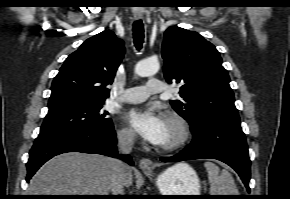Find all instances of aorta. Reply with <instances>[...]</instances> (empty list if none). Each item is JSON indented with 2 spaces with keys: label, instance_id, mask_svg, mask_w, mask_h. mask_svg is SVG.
Masks as SVG:
<instances>
[{
  "label": "aorta",
  "instance_id": "1",
  "mask_svg": "<svg viewBox=\"0 0 290 199\" xmlns=\"http://www.w3.org/2000/svg\"><path fill=\"white\" fill-rule=\"evenodd\" d=\"M160 65L156 59H147L140 61L135 66V73L141 77L155 75L159 71Z\"/></svg>",
  "mask_w": 290,
  "mask_h": 199
}]
</instances>
